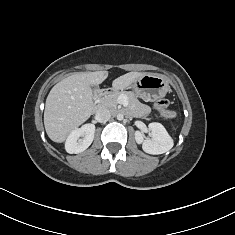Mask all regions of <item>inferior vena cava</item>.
<instances>
[{"instance_id":"inferior-vena-cava-1","label":"inferior vena cava","mask_w":235,"mask_h":235,"mask_svg":"<svg viewBox=\"0 0 235 235\" xmlns=\"http://www.w3.org/2000/svg\"><path fill=\"white\" fill-rule=\"evenodd\" d=\"M96 118L100 122H106L111 118V112L109 109H107L105 107H100L96 111Z\"/></svg>"}]
</instances>
